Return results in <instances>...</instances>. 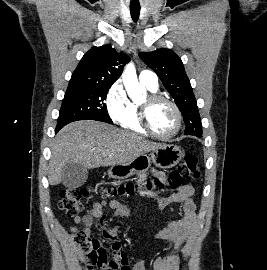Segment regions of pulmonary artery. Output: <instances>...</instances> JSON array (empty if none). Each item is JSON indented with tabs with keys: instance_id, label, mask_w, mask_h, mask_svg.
<instances>
[{
	"instance_id": "1",
	"label": "pulmonary artery",
	"mask_w": 267,
	"mask_h": 270,
	"mask_svg": "<svg viewBox=\"0 0 267 270\" xmlns=\"http://www.w3.org/2000/svg\"><path fill=\"white\" fill-rule=\"evenodd\" d=\"M139 79L142 83L152 87H158V77L151 70H142L139 74Z\"/></svg>"
}]
</instances>
